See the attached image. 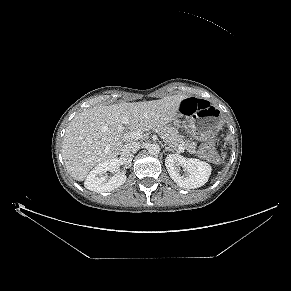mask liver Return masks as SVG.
<instances>
[{
  "instance_id": "1",
  "label": "liver",
  "mask_w": 291,
  "mask_h": 291,
  "mask_svg": "<svg viewBox=\"0 0 291 291\" xmlns=\"http://www.w3.org/2000/svg\"><path fill=\"white\" fill-rule=\"evenodd\" d=\"M185 98L173 95L152 101L123 102L79 113L63 138L62 156L68 173L76 181L85 180L94 166L118 156L124 143L136 141L128 137L130 132L143 133L172 122ZM120 125H127L131 131H120Z\"/></svg>"
}]
</instances>
